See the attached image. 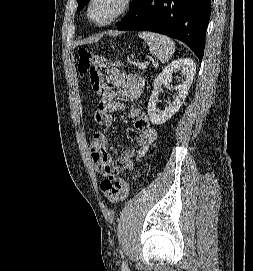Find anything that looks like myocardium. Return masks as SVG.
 Here are the masks:
<instances>
[{
    "mask_svg": "<svg viewBox=\"0 0 253 271\" xmlns=\"http://www.w3.org/2000/svg\"><path fill=\"white\" fill-rule=\"evenodd\" d=\"M95 1L96 0L89 1L88 7H87V16H88V19L94 25H96L98 27H105V26L112 24L113 22L118 20L120 17L125 15L130 10V8L132 7V4H133V0H121L120 7L114 15H112L108 20H106L104 22H97L93 19L92 15H91V9H92V6L95 3Z\"/></svg>",
    "mask_w": 253,
    "mask_h": 271,
    "instance_id": "obj_1",
    "label": "myocardium"
}]
</instances>
